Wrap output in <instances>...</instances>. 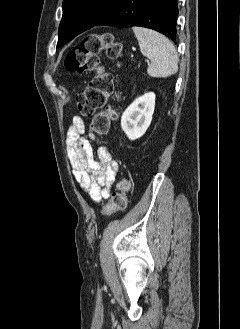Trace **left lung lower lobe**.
<instances>
[{
  "instance_id": "obj_1",
  "label": "left lung lower lobe",
  "mask_w": 240,
  "mask_h": 329,
  "mask_svg": "<svg viewBox=\"0 0 240 329\" xmlns=\"http://www.w3.org/2000/svg\"><path fill=\"white\" fill-rule=\"evenodd\" d=\"M178 12L177 0H119L96 25L151 28L176 42Z\"/></svg>"
}]
</instances>
